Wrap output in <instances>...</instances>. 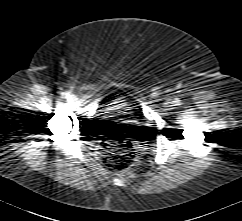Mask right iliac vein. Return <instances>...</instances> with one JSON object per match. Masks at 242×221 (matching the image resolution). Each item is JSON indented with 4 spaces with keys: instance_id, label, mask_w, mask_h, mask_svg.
Here are the masks:
<instances>
[{
    "instance_id": "right-iliac-vein-1",
    "label": "right iliac vein",
    "mask_w": 242,
    "mask_h": 221,
    "mask_svg": "<svg viewBox=\"0 0 242 221\" xmlns=\"http://www.w3.org/2000/svg\"><path fill=\"white\" fill-rule=\"evenodd\" d=\"M71 99H72V101H75V100H76V98H75V97H71Z\"/></svg>"
}]
</instances>
